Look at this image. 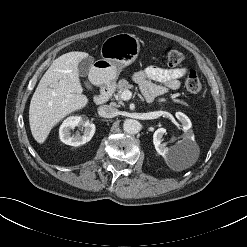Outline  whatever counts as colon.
<instances>
[{
  "label": "colon",
  "instance_id": "1",
  "mask_svg": "<svg viewBox=\"0 0 247 247\" xmlns=\"http://www.w3.org/2000/svg\"><path fill=\"white\" fill-rule=\"evenodd\" d=\"M164 57L170 67H179L185 63V56L182 52L167 48L164 52ZM185 87L191 94H198L201 91V81L195 70L189 71L185 79Z\"/></svg>",
  "mask_w": 247,
  "mask_h": 247
}]
</instances>
